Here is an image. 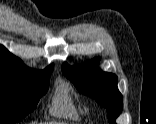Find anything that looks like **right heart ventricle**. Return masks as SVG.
Returning <instances> with one entry per match:
<instances>
[{
    "instance_id": "e07e8e85",
    "label": "right heart ventricle",
    "mask_w": 156,
    "mask_h": 124,
    "mask_svg": "<svg viewBox=\"0 0 156 124\" xmlns=\"http://www.w3.org/2000/svg\"><path fill=\"white\" fill-rule=\"evenodd\" d=\"M50 113L58 118L78 120L84 110L71 93L68 84L60 83L53 94Z\"/></svg>"
}]
</instances>
